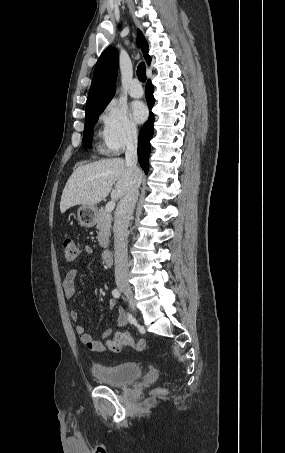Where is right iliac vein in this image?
<instances>
[{
  "mask_svg": "<svg viewBox=\"0 0 285 453\" xmlns=\"http://www.w3.org/2000/svg\"><path fill=\"white\" fill-rule=\"evenodd\" d=\"M117 285L119 290L122 291L130 301V303L133 304V293L130 285L127 282H118Z\"/></svg>",
  "mask_w": 285,
  "mask_h": 453,
  "instance_id": "63e3f726",
  "label": "right iliac vein"
}]
</instances>
